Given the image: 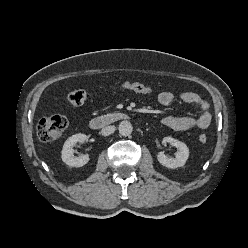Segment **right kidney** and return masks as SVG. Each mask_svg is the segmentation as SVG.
Returning <instances> with one entry per match:
<instances>
[{"mask_svg":"<svg viewBox=\"0 0 248 248\" xmlns=\"http://www.w3.org/2000/svg\"><path fill=\"white\" fill-rule=\"evenodd\" d=\"M87 139V136L85 134L79 133L75 134L71 137H69L62 148V154L61 158L65 164H67L70 167H82L85 164L88 163L89 157L88 155H81L79 157L74 156V150L73 146L79 142V143H84Z\"/></svg>","mask_w":248,"mask_h":248,"instance_id":"1","label":"right kidney"}]
</instances>
